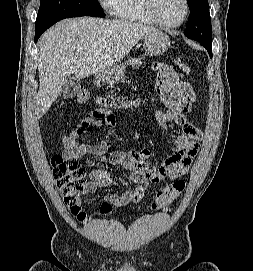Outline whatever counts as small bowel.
Segmentation results:
<instances>
[{
  "instance_id": "c3829d8e",
  "label": "small bowel",
  "mask_w": 253,
  "mask_h": 271,
  "mask_svg": "<svg viewBox=\"0 0 253 271\" xmlns=\"http://www.w3.org/2000/svg\"><path fill=\"white\" fill-rule=\"evenodd\" d=\"M154 69L157 74L156 91L164 104V109L155 111L153 119L162 127L172 122L182 128L181 133L173 135L178 150L157 167L147 164L151 153L145 147L135 149L131 153L118 151L111 154L110 163L128 170L130 172L129 179L134 187L126 190L122 195L108 194L106 196L107 203H105L108 206L103 205L102 213H108L112 205L117 206L121 202L126 204L138 202L144 196L150 183L172 180L184 175L197 154L198 141L202 138V132L188 119V114L191 112L195 100L192 88L189 84L180 82V76L172 65L159 64ZM90 126L113 128L115 117L111 113H106L103 118L89 115L81 120L76 129L63 138L64 157L77 158L90 155L101 162L106 161L105 154L108 145L105 141L97 144L78 142V138L86 133ZM89 178V191L114 184L111 173L106 169L90 171Z\"/></svg>"
}]
</instances>
